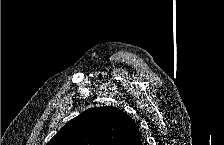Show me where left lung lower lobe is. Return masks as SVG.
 Masks as SVG:
<instances>
[{"label": "left lung lower lobe", "mask_w": 224, "mask_h": 145, "mask_svg": "<svg viewBox=\"0 0 224 145\" xmlns=\"http://www.w3.org/2000/svg\"><path fill=\"white\" fill-rule=\"evenodd\" d=\"M138 145H142V142L140 141Z\"/></svg>", "instance_id": "0a47b994"}]
</instances>
